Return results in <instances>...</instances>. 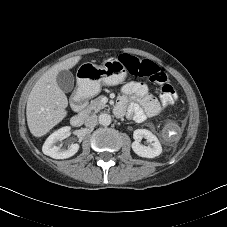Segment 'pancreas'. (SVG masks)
Masks as SVG:
<instances>
[{
	"instance_id": "1",
	"label": "pancreas",
	"mask_w": 227,
	"mask_h": 227,
	"mask_svg": "<svg viewBox=\"0 0 227 227\" xmlns=\"http://www.w3.org/2000/svg\"><path fill=\"white\" fill-rule=\"evenodd\" d=\"M106 106L107 105L102 102V96H99L96 99L92 100L82 113L85 115L90 114L91 112L97 113L101 109H104Z\"/></svg>"
}]
</instances>
